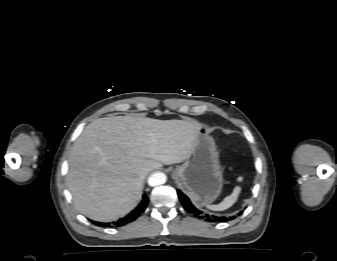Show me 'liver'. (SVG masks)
Returning <instances> with one entry per match:
<instances>
[{"instance_id": "obj_1", "label": "liver", "mask_w": 337, "mask_h": 261, "mask_svg": "<svg viewBox=\"0 0 337 261\" xmlns=\"http://www.w3.org/2000/svg\"><path fill=\"white\" fill-rule=\"evenodd\" d=\"M201 127L135 116L94 120L69 155L67 185L76 208L96 221L123 217L140 200L141 173L186 160Z\"/></svg>"}]
</instances>
